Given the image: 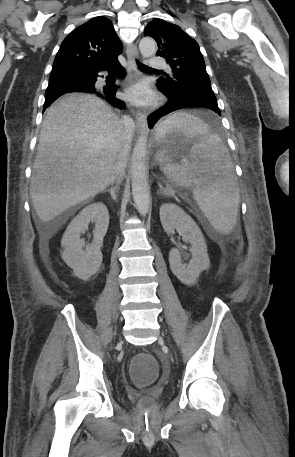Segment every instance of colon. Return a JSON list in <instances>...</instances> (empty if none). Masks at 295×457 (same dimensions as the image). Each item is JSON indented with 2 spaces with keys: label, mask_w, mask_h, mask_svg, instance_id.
I'll use <instances>...</instances> for the list:
<instances>
[{
  "label": "colon",
  "mask_w": 295,
  "mask_h": 457,
  "mask_svg": "<svg viewBox=\"0 0 295 457\" xmlns=\"http://www.w3.org/2000/svg\"><path fill=\"white\" fill-rule=\"evenodd\" d=\"M129 377H132L137 390H144L145 383H156L157 363H155L152 351H135L131 358Z\"/></svg>",
  "instance_id": "colon-1"
}]
</instances>
